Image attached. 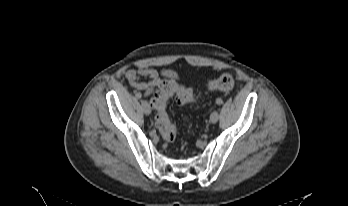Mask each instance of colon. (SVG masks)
I'll return each mask as SVG.
<instances>
[{"instance_id": "obj_1", "label": "colon", "mask_w": 348, "mask_h": 206, "mask_svg": "<svg viewBox=\"0 0 348 206\" xmlns=\"http://www.w3.org/2000/svg\"><path fill=\"white\" fill-rule=\"evenodd\" d=\"M234 87V79L230 74H223L209 82L210 90L230 91ZM175 95L179 105H187L195 102L193 90L181 86L174 80H163L154 91L151 106L156 111L155 123L164 140L172 142L177 135V128L171 123L166 111L168 99Z\"/></svg>"}]
</instances>
